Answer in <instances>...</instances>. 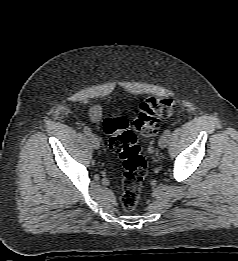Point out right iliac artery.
<instances>
[{"label":"right iliac artery","instance_id":"1","mask_svg":"<svg viewBox=\"0 0 238 261\" xmlns=\"http://www.w3.org/2000/svg\"><path fill=\"white\" fill-rule=\"evenodd\" d=\"M84 133L86 134V135H91L92 133H91V130H90V128L89 127H84Z\"/></svg>","mask_w":238,"mask_h":261}]
</instances>
